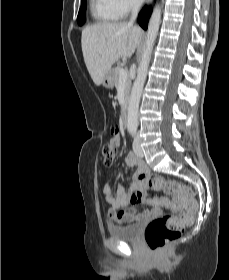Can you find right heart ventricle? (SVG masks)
Listing matches in <instances>:
<instances>
[{"instance_id": "1", "label": "right heart ventricle", "mask_w": 229, "mask_h": 280, "mask_svg": "<svg viewBox=\"0 0 229 280\" xmlns=\"http://www.w3.org/2000/svg\"><path fill=\"white\" fill-rule=\"evenodd\" d=\"M90 9L94 21L98 24H111L120 18L109 0H91Z\"/></svg>"}]
</instances>
